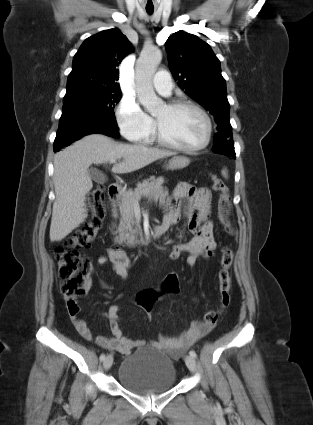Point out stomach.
Masks as SVG:
<instances>
[{
	"label": "stomach",
	"instance_id": "0dacf381",
	"mask_svg": "<svg viewBox=\"0 0 313 425\" xmlns=\"http://www.w3.org/2000/svg\"><path fill=\"white\" fill-rule=\"evenodd\" d=\"M190 163V159L186 156H174L172 159L169 160L168 164L166 165V169L169 170H179L187 167Z\"/></svg>",
	"mask_w": 313,
	"mask_h": 425
}]
</instances>
